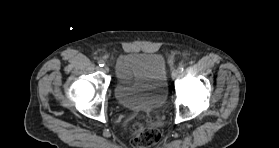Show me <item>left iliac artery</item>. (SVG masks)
<instances>
[{
	"label": "left iliac artery",
	"instance_id": "obj_1",
	"mask_svg": "<svg viewBox=\"0 0 279 148\" xmlns=\"http://www.w3.org/2000/svg\"><path fill=\"white\" fill-rule=\"evenodd\" d=\"M178 69H179L180 72H183L184 67H183V66H180Z\"/></svg>",
	"mask_w": 279,
	"mask_h": 148
}]
</instances>
